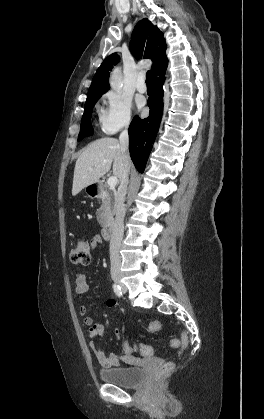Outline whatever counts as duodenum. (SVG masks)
I'll return each mask as SVG.
<instances>
[{"instance_id": "obj_1", "label": "duodenum", "mask_w": 264, "mask_h": 419, "mask_svg": "<svg viewBox=\"0 0 264 419\" xmlns=\"http://www.w3.org/2000/svg\"><path fill=\"white\" fill-rule=\"evenodd\" d=\"M101 193V186L96 184L92 186L91 194L92 196H99ZM114 222L110 221L108 222L102 229V237L105 240H110L113 237L114 234Z\"/></svg>"}]
</instances>
